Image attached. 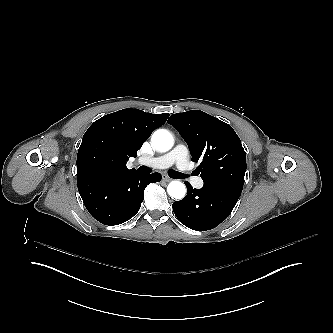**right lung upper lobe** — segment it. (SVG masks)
<instances>
[{
  "mask_svg": "<svg viewBox=\"0 0 333 333\" xmlns=\"http://www.w3.org/2000/svg\"><path fill=\"white\" fill-rule=\"evenodd\" d=\"M168 117L169 114L123 109L98 119L83 136L77 154V174L128 171L129 157H136L152 131Z\"/></svg>",
  "mask_w": 333,
  "mask_h": 333,
  "instance_id": "cb5924a9",
  "label": "right lung upper lobe"
}]
</instances>
